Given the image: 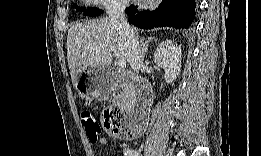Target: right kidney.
<instances>
[{
    "mask_svg": "<svg viewBox=\"0 0 261 156\" xmlns=\"http://www.w3.org/2000/svg\"><path fill=\"white\" fill-rule=\"evenodd\" d=\"M181 47L173 40L162 41L154 53L155 64L165 70V81L172 83L180 73Z\"/></svg>",
    "mask_w": 261,
    "mask_h": 156,
    "instance_id": "ca27d5eb",
    "label": "right kidney"
}]
</instances>
